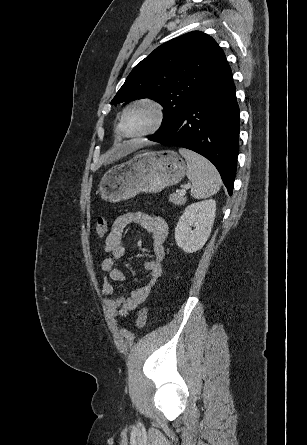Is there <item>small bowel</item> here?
<instances>
[{
  "label": "small bowel",
  "instance_id": "small-bowel-1",
  "mask_svg": "<svg viewBox=\"0 0 307 445\" xmlns=\"http://www.w3.org/2000/svg\"><path fill=\"white\" fill-rule=\"evenodd\" d=\"M138 224L151 235V248L153 257L145 262V269L149 273V279L142 287L134 290L130 296H115L112 282H123L124 273L117 267V262L125 254L123 234L130 224ZM168 235V224L165 218L157 213H145L143 211H131L118 216L107 235L103 249L109 254L101 263L102 270L107 274L103 279L101 290L107 297L104 305L114 316H127L145 302L163 272V262L166 251L165 239Z\"/></svg>",
  "mask_w": 307,
  "mask_h": 445
}]
</instances>
